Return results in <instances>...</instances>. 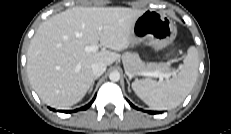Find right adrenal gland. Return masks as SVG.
Masks as SVG:
<instances>
[{"mask_svg": "<svg viewBox=\"0 0 231 134\" xmlns=\"http://www.w3.org/2000/svg\"><path fill=\"white\" fill-rule=\"evenodd\" d=\"M98 78H99V77H94V79H93V81H92V84H91V87H90V89H89V92L92 91L93 86H94V83H95V81H96Z\"/></svg>", "mask_w": 231, "mask_h": 134, "instance_id": "2a0ac1e0", "label": "right adrenal gland"}]
</instances>
